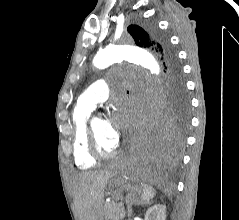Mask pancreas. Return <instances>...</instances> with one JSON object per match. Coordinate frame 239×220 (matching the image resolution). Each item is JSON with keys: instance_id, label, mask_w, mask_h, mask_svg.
<instances>
[{"instance_id": "obj_1", "label": "pancreas", "mask_w": 239, "mask_h": 220, "mask_svg": "<svg viewBox=\"0 0 239 220\" xmlns=\"http://www.w3.org/2000/svg\"><path fill=\"white\" fill-rule=\"evenodd\" d=\"M126 212L122 206L112 201L104 205L105 220H122L125 218Z\"/></svg>"}]
</instances>
